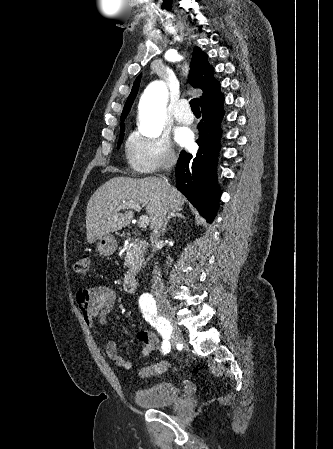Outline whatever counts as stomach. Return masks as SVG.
I'll list each match as a JSON object with an SVG mask.
<instances>
[{"instance_id":"stomach-1","label":"stomach","mask_w":333,"mask_h":449,"mask_svg":"<svg viewBox=\"0 0 333 449\" xmlns=\"http://www.w3.org/2000/svg\"><path fill=\"white\" fill-rule=\"evenodd\" d=\"M117 248V242L112 235H105L98 240L97 250L102 256L112 255Z\"/></svg>"}]
</instances>
